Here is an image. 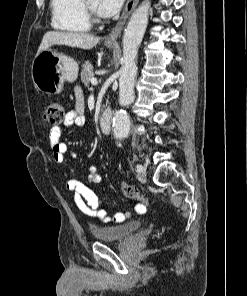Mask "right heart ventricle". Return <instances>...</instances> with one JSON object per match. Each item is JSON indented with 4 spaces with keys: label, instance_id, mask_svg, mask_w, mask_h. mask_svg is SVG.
<instances>
[{
    "label": "right heart ventricle",
    "instance_id": "right-heart-ventricle-1",
    "mask_svg": "<svg viewBox=\"0 0 247 296\" xmlns=\"http://www.w3.org/2000/svg\"><path fill=\"white\" fill-rule=\"evenodd\" d=\"M51 25L54 29L81 33L91 28L83 0H51Z\"/></svg>",
    "mask_w": 247,
    "mask_h": 296
}]
</instances>
